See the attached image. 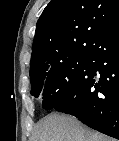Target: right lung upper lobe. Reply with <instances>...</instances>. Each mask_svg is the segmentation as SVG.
<instances>
[{
	"label": "right lung upper lobe",
	"mask_w": 119,
	"mask_h": 141,
	"mask_svg": "<svg viewBox=\"0 0 119 141\" xmlns=\"http://www.w3.org/2000/svg\"><path fill=\"white\" fill-rule=\"evenodd\" d=\"M118 19L119 0H51L36 24L30 74L88 57Z\"/></svg>",
	"instance_id": "right-lung-upper-lobe-1"
}]
</instances>
